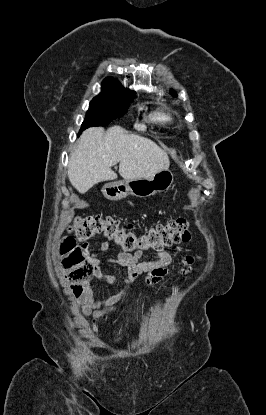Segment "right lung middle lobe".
<instances>
[{"mask_svg":"<svg viewBox=\"0 0 266 415\" xmlns=\"http://www.w3.org/2000/svg\"><path fill=\"white\" fill-rule=\"evenodd\" d=\"M133 98L134 96L93 98L78 135L88 127L106 126L112 120L124 116Z\"/></svg>","mask_w":266,"mask_h":415,"instance_id":"obj_1","label":"right lung middle lobe"}]
</instances>
